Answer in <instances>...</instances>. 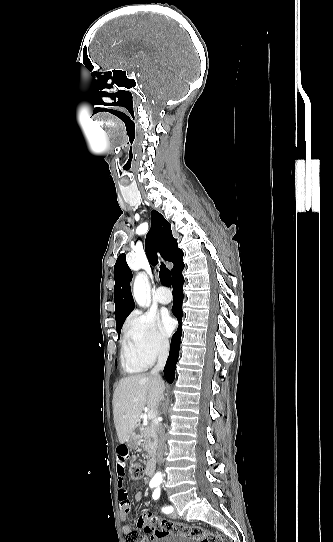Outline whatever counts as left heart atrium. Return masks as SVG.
<instances>
[{
    "label": "left heart atrium",
    "instance_id": "obj_1",
    "mask_svg": "<svg viewBox=\"0 0 333 542\" xmlns=\"http://www.w3.org/2000/svg\"><path fill=\"white\" fill-rule=\"evenodd\" d=\"M164 323L168 331H172L175 327V322L171 317H166Z\"/></svg>",
    "mask_w": 333,
    "mask_h": 542
}]
</instances>
